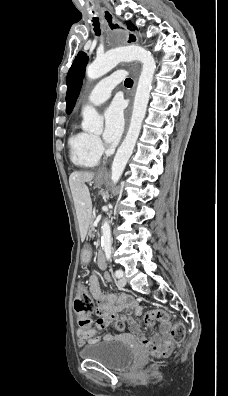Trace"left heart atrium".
I'll return each mask as SVG.
<instances>
[{"label":"left heart atrium","mask_w":228,"mask_h":396,"mask_svg":"<svg viewBox=\"0 0 228 396\" xmlns=\"http://www.w3.org/2000/svg\"><path fill=\"white\" fill-rule=\"evenodd\" d=\"M105 128L103 138L107 144H115L122 135L124 128L123 106L120 101H114L104 113Z\"/></svg>","instance_id":"left-heart-atrium-1"}]
</instances>
